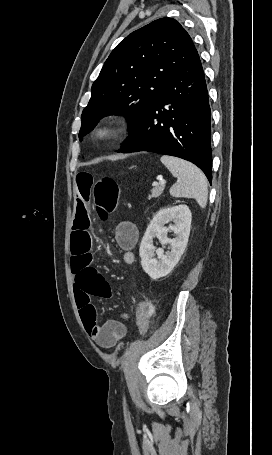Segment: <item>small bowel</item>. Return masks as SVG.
<instances>
[{
    "mask_svg": "<svg viewBox=\"0 0 272 455\" xmlns=\"http://www.w3.org/2000/svg\"><path fill=\"white\" fill-rule=\"evenodd\" d=\"M94 175L81 171L75 178L77 208L71 233V270L74 274V292L77 307L89 336L103 348L114 346L127 333L123 321L109 319L103 325L97 323V310L92 299L110 298L112 289L99 270L93 265L91 254L89 202L95 186ZM115 239L122 249V260L126 265L136 261L133 251L138 241V230L130 221L119 222L114 230ZM127 320L128 314L120 316Z\"/></svg>",
    "mask_w": 272,
    "mask_h": 455,
    "instance_id": "obj_1",
    "label": "small bowel"
}]
</instances>
